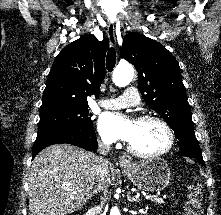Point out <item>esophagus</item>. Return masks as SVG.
<instances>
[{"label": "esophagus", "mask_w": 221, "mask_h": 215, "mask_svg": "<svg viewBox=\"0 0 221 215\" xmlns=\"http://www.w3.org/2000/svg\"><path fill=\"white\" fill-rule=\"evenodd\" d=\"M107 35L110 41V44L115 47L116 46V34H115V26L113 23H109L107 27ZM119 162L121 166H127L131 163V157L129 155H122L119 158Z\"/></svg>", "instance_id": "1"}]
</instances>
